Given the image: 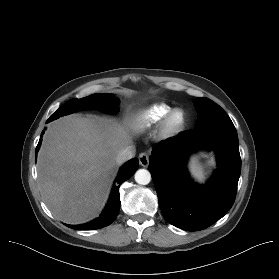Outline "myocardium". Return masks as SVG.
I'll return each mask as SVG.
<instances>
[{
	"label": "myocardium",
	"instance_id": "obj_1",
	"mask_svg": "<svg viewBox=\"0 0 279 279\" xmlns=\"http://www.w3.org/2000/svg\"><path fill=\"white\" fill-rule=\"evenodd\" d=\"M176 115L180 116V120L178 122L174 121V117ZM186 114L180 108L171 109L163 118L161 123V134L166 137H173L178 135L186 126Z\"/></svg>",
	"mask_w": 279,
	"mask_h": 279
}]
</instances>
